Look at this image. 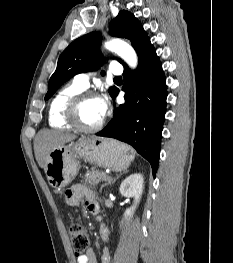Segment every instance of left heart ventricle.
Listing matches in <instances>:
<instances>
[{"mask_svg": "<svg viewBox=\"0 0 233 263\" xmlns=\"http://www.w3.org/2000/svg\"><path fill=\"white\" fill-rule=\"evenodd\" d=\"M79 115L81 123L86 127H93L98 124L102 119L98 98L87 99L82 104Z\"/></svg>", "mask_w": 233, "mask_h": 263, "instance_id": "left-heart-ventricle-1", "label": "left heart ventricle"}]
</instances>
